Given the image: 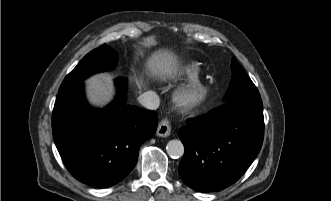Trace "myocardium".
<instances>
[{
  "label": "myocardium",
  "mask_w": 331,
  "mask_h": 201,
  "mask_svg": "<svg viewBox=\"0 0 331 201\" xmlns=\"http://www.w3.org/2000/svg\"><path fill=\"white\" fill-rule=\"evenodd\" d=\"M202 95L203 91L200 87L180 88L175 93V101L179 106L193 108L201 102Z\"/></svg>",
  "instance_id": "f54148a6"
}]
</instances>
